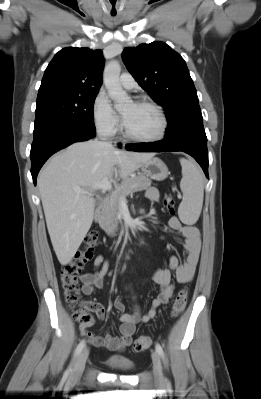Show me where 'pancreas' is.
Segmentation results:
<instances>
[{
  "instance_id": "1",
  "label": "pancreas",
  "mask_w": 261,
  "mask_h": 399,
  "mask_svg": "<svg viewBox=\"0 0 261 399\" xmlns=\"http://www.w3.org/2000/svg\"><path fill=\"white\" fill-rule=\"evenodd\" d=\"M151 186V180L145 175H135L125 179L122 184L110 196L100 219V227L109 235L115 236L118 224L121 223L120 202L122 198L142 191Z\"/></svg>"
}]
</instances>
